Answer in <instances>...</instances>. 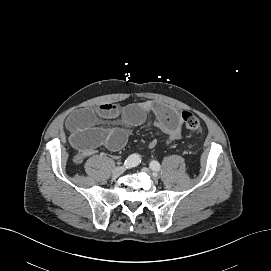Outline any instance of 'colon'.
Segmentation results:
<instances>
[{"label":"colon","mask_w":271,"mask_h":271,"mask_svg":"<svg viewBox=\"0 0 271 271\" xmlns=\"http://www.w3.org/2000/svg\"><path fill=\"white\" fill-rule=\"evenodd\" d=\"M181 118L184 124V127L189 131H197L200 129V121L199 119L188 111H183L181 114Z\"/></svg>","instance_id":"1"}]
</instances>
